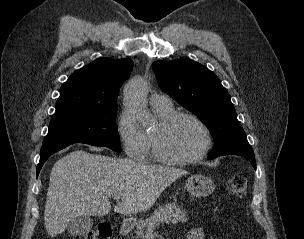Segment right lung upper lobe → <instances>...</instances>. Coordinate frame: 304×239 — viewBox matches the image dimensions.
I'll use <instances>...</instances> for the list:
<instances>
[{
  "instance_id": "1",
  "label": "right lung upper lobe",
  "mask_w": 304,
  "mask_h": 239,
  "mask_svg": "<svg viewBox=\"0 0 304 239\" xmlns=\"http://www.w3.org/2000/svg\"><path fill=\"white\" fill-rule=\"evenodd\" d=\"M132 67L129 58H100L73 72L60 88L56 112L116 105L120 87Z\"/></svg>"
}]
</instances>
